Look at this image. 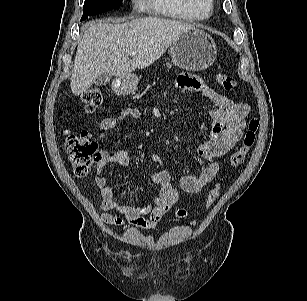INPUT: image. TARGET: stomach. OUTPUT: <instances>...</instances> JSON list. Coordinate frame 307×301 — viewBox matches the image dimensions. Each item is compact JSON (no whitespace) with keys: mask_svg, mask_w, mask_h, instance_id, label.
Masks as SVG:
<instances>
[{"mask_svg":"<svg viewBox=\"0 0 307 301\" xmlns=\"http://www.w3.org/2000/svg\"><path fill=\"white\" fill-rule=\"evenodd\" d=\"M172 62L187 71H201L210 67L216 59L217 48L212 37L201 29L182 32L170 48ZM139 79L134 74L117 77L112 90L117 95H127L136 90Z\"/></svg>","mask_w":307,"mask_h":301,"instance_id":"1","label":"stomach"}]
</instances>
